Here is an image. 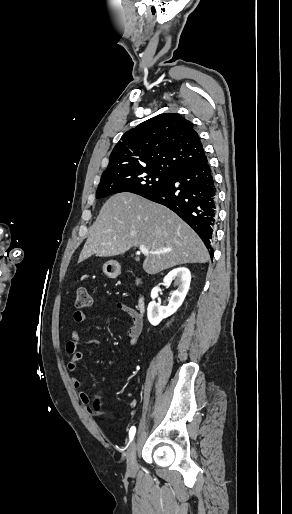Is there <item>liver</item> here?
I'll use <instances>...</instances> for the list:
<instances>
[{"instance_id":"obj_1","label":"liver","mask_w":292,"mask_h":514,"mask_svg":"<svg viewBox=\"0 0 292 514\" xmlns=\"http://www.w3.org/2000/svg\"><path fill=\"white\" fill-rule=\"evenodd\" d=\"M133 246H145L150 252L171 250L146 254L143 270L147 274L209 260L202 240L177 214L130 192L115 194L105 202L79 260L83 262L93 254L119 256Z\"/></svg>"}]
</instances>
